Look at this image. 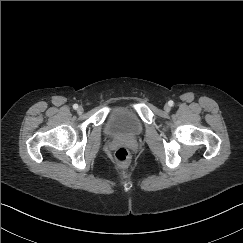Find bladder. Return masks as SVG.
<instances>
[{
    "label": "bladder",
    "instance_id": "31cf9c89",
    "mask_svg": "<svg viewBox=\"0 0 243 243\" xmlns=\"http://www.w3.org/2000/svg\"><path fill=\"white\" fill-rule=\"evenodd\" d=\"M144 132L141 118L130 108H111L103 125V133L111 138H136Z\"/></svg>",
    "mask_w": 243,
    "mask_h": 243
}]
</instances>
